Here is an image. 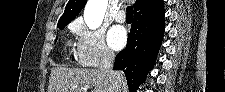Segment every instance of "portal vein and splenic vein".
<instances>
[{
	"label": "portal vein and splenic vein",
	"mask_w": 225,
	"mask_h": 92,
	"mask_svg": "<svg viewBox=\"0 0 225 92\" xmlns=\"http://www.w3.org/2000/svg\"><path fill=\"white\" fill-rule=\"evenodd\" d=\"M84 88L87 90L89 88V86L88 85H85Z\"/></svg>",
	"instance_id": "obj_1"
}]
</instances>
